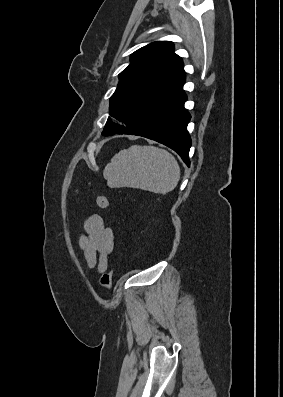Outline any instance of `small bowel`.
<instances>
[{
    "mask_svg": "<svg viewBox=\"0 0 283 397\" xmlns=\"http://www.w3.org/2000/svg\"><path fill=\"white\" fill-rule=\"evenodd\" d=\"M79 244L88 267L103 273L114 250V232L102 216L90 214L85 218Z\"/></svg>",
    "mask_w": 283,
    "mask_h": 397,
    "instance_id": "obj_1",
    "label": "small bowel"
}]
</instances>
